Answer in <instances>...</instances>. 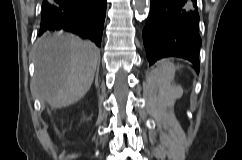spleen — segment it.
Wrapping results in <instances>:
<instances>
[{"mask_svg":"<svg viewBox=\"0 0 242 160\" xmlns=\"http://www.w3.org/2000/svg\"><path fill=\"white\" fill-rule=\"evenodd\" d=\"M175 71L173 63L162 61L151 75V85L159 89V97L164 106L170 105L177 97V88L171 85Z\"/></svg>","mask_w":242,"mask_h":160,"instance_id":"spleen-1","label":"spleen"}]
</instances>
